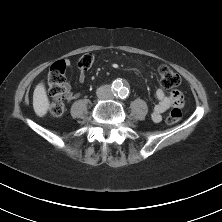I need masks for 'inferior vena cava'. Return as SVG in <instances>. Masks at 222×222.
<instances>
[{
	"instance_id": "602c4592",
	"label": "inferior vena cava",
	"mask_w": 222,
	"mask_h": 222,
	"mask_svg": "<svg viewBox=\"0 0 222 222\" xmlns=\"http://www.w3.org/2000/svg\"><path fill=\"white\" fill-rule=\"evenodd\" d=\"M96 94L101 99H111L113 97L112 89L108 85L99 87Z\"/></svg>"
}]
</instances>
